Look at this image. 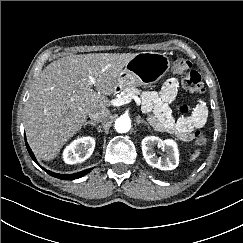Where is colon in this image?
I'll return each mask as SVG.
<instances>
[{
    "mask_svg": "<svg viewBox=\"0 0 243 243\" xmlns=\"http://www.w3.org/2000/svg\"><path fill=\"white\" fill-rule=\"evenodd\" d=\"M172 68L175 73L183 74V86L194 93H202L204 91V83L202 81L201 75L191 69V63L186 58L176 56L172 60ZM190 111L189 107L182 105L179 108L181 114H188ZM193 139L199 145H205L207 143V138L203 135L200 130L193 131Z\"/></svg>",
    "mask_w": 243,
    "mask_h": 243,
    "instance_id": "1",
    "label": "colon"
}]
</instances>
